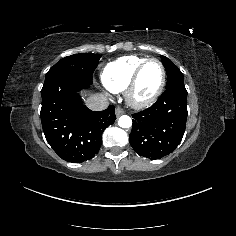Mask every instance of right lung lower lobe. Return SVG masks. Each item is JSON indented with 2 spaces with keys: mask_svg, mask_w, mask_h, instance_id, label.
<instances>
[{
  "mask_svg": "<svg viewBox=\"0 0 236 236\" xmlns=\"http://www.w3.org/2000/svg\"><path fill=\"white\" fill-rule=\"evenodd\" d=\"M78 76H58L44 82L41 90V122L47 142L63 160L81 163L97 154L102 133L116 119L115 107L93 112L77 93L88 88Z\"/></svg>",
  "mask_w": 236,
  "mask_h": 236,
  "instance_id": "1",
  "label": "right lung lower lobe"
}]
</instances>
